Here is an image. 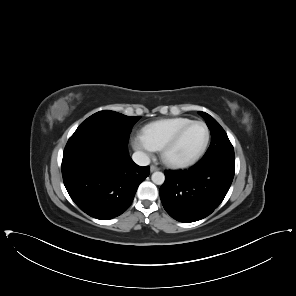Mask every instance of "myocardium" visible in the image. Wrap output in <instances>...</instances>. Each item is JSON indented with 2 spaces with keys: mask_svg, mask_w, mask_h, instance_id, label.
I'll use <instances>...</instances> for the list:
<instances>
[{
  "mask_svg": "<svg viewBox=\"0 0 296 296\" xmlns=\"http://www.w3.org/2000/svg\"><path fill=\"white\" fill-rule=\"evenodd\" d=\"M192 125H201L205 129V134H206L205 140H204V143H203L202 147L200 148V150L195 155H193L192 157H189V158L177 159V160L168 158V151L170 150V148L179 140L180 136L184 133V131L187 130ZM209 140H210V131H209L208 126L203 121L191 120L190 122H188L187 124L182 126L180 129H178L163 145L162 159L168 165H171L174 167H184V166L191 165V164L195 163L196 161H198L204 155V153L208 147Z\"/></svg>",
  "mask_w": 296,
  "mask_h": 296,
  "instance_id": "obj_1",
  "label": "myocardium"
}]
</instances>
